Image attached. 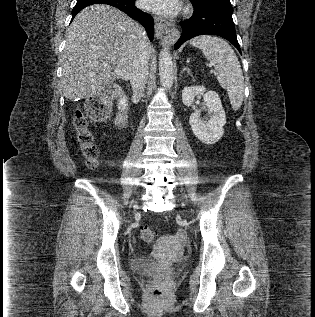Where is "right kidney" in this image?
I'll return each instance as SVG.
<instances>
[{"instance_id":"obj_1","label":"right kidney","mask_w":315,"mask_h":317,"mask_svg":"<svg viewBox=\"0 0 315 317\" xmlns=\"http://www.w3.org/2000/svg\"><path fill=\"white\" fill-rule=\"evenodd\" d=\"M127 106V100L125 98H121L119 101H118V109H125V107Z\"/></svg>"}]
</instances>
